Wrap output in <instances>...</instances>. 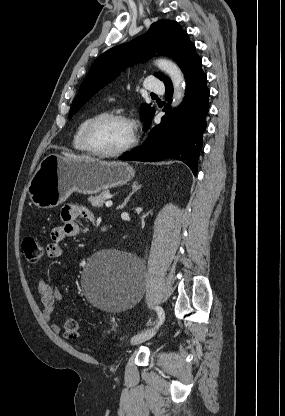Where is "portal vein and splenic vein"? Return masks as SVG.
Wrapping results in <instances>:
<instances>
[{
  "mask_svg": "<svg viewBox=\"0 0 285 416\" xmlns=\"http://www.w3.org/2000/svg\"><path fill=\"white\" fill-rule=\"evenodd\" d=\"M105 206H106V208H110V206H113V202H111V200H108V202H106Z\"/></svg>",
  "mask_w": 285,
  "mask_h": 416,
  "instance_id": "portal-vein-and-splenic-vein-1",
  "label": "portal vein and splenic vein"
}]
</instances>
